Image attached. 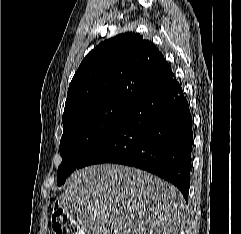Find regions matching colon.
Returning <instances> with one entry per match:
<instances>
[{
	"label": "colon",
	"mask_w": 241,
	"mask_h": 234,
	"mask_svg": "<svg viewBox=\"0 0 241 234\" xmlns=\"http://www.w3.org/2000/svg\"><path fill=\"white\" fill-rule=\"evenodd\" d=\"M52 228L55 234H81L73 216L55 204L51 213Z\"/></svg>",
	"instance_id": "colon-1"
}]
</instances>
